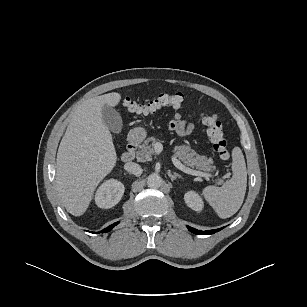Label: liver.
Masks as SVG:
<instances>
[{"label": "liver", "instance_id": "1", "mask_svg": "<svg viewBox=\"0 0 307 307\" xmlns=\"http://www.w3.org/2000/svg\"><path fill=\"white\" fill-rule=\"evenodd\" d=\"M120 100L121 95L112 92L84 101L60 142L56 188L66 210L74 216L84 214L96 187L116 164L117 154L102 119V108L116 106Z\"/></svg>", "mask_w": 307, "mask_h": 307}]
</instances>
